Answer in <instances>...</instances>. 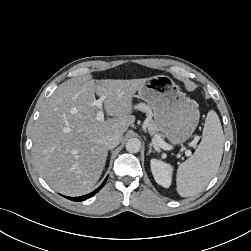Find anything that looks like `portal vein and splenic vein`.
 <instances>
[{"instance_id":"1","label":"portal vein and splenic vein","mask_w":251,"mask_h":251,"mask_svg":"<svg viewBox=\"0 0 251 251\" xmlns=\"http://www.w3.org/2000/svg\"><path fill=\"white\" fill-rule=\"evenodd\" d=\"M105 98H106V96H102V97L99 98L98 100H94V101L92 102V104H93L94 106H96V107L99 109L98 112H97V114H96V119H97L98 121H103V120H104L103 100H104ZM157 141H158L160 147H162L163 149H165V150H169V149H170V146H169L167 143H165L163 140L157 138ZM185 155H186L187 157H189V156L191 155V151H190V150H187V151L185 152Z\"/></svg>"}]
</instances>
